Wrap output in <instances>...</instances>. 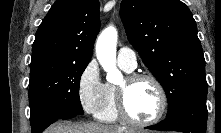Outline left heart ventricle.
<instances>
[{"label":"left heart ventricle","instance_id":"obj_1","mask_svg":"<svg viewBox=\"0 0 221 133\" xmlns=\"http://www.w3.org/2000/svg\"><path fill=\"white\" fill-rule=\"evenodd\" d=\"M159 106V94L152 82L142 80L128 89L127 107L131 116L135 119L146 121L153 118L158 112Z\"/></svg>","mask_w":221,"mask_h":133}]
</instances>
